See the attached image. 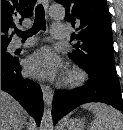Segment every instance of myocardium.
<instances>
[{
	"instance_id": "1",
	"label": "myocardium",
	"mask_w": 123,
	"mask_h": 130,
	"mask_svg": "<svg viewBox=\"0 0 123 130\" xmlns=\"http://www.w3.org/2000/svg\"><path fill=\"white\" fill-rule=\"evenodd\" d=\"M86 80L87 74L85 71L79 68H73L66 74L64 83L70 87H77L84 84Z\"/></svg>"
}]
</instances>
